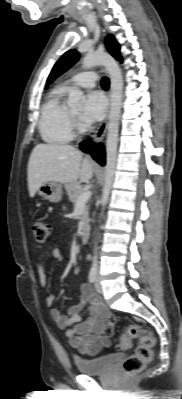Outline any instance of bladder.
<instances>
[{
  "label": "bladder",
  "mask_w": 182,
  "mask_h": 399,
  "mask_svg": "<svg viewBox=\"0 0 182 399\" xmlns=\"http://www.w3.org/2000/svg\"><path fill=\"white\" fill-rule=\"evenodd\" d=\"M121 358V354L113 353L90 359L76 358L74 362L78 371L83 375H103L108 373L114 363Z\"/></svg>",
  "instance_id": "31cf9c89"
}]
</instances>
